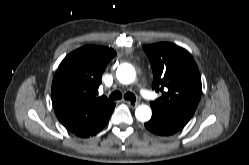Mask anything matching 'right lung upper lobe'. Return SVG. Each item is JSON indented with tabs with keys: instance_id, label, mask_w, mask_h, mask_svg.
<instances>
[{
	"instance_id": "cb5924a9",
	"label": "right lung upper lobe",
	"mask_w": 249,
	"mask_h": 165,
	"mask_svg": "<svg viewBox=\"0 0 249 165\" xmlns=\"http://www.w3.org/2000/svg\"><path fill=\"white\" fill-rule=\"evenodd\" d=\"M115 55L112 48L88 45L71 52L59 65L51 98L56 116L67 130L74 133L89 127L115 106L113 101L97 97L102 74Z\"/></svg>"
}]
</instances>
